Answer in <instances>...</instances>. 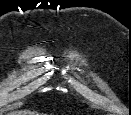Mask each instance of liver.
<instances>
[{
  "label": "liver",
  "mask_w": 131,
  "mask_h": 115,
  "mask_svg": "<svg viewBox=\"0 0 131 115\" xmlns=\"http://www.w3.org/2000/svg\"><path fill=\"white\" fill-rule=\"evenodd\" d=\"M19 113H23L22 115H34V114H30V112H19Z\"/></svg>",
  "instance_id": "liver-1"
}]
</instances>
